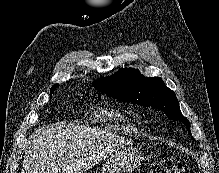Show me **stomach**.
<instances>
[{
	"mask_svg": "<svg viewBox=\"0 0 219 173\" xmlns=\"http://www.w3.org/2000/svg\"><path fill=\"white\" fill-rule=\"evenodd\" d=\"M142 160V154L137 148L122 146L108 157L102 166V173H131Z\"/></svg>",
	"mask_w": 219,
	"mask_h": 173,
	"instance_id": "1",
	"label": "stomach"
}]
</instances>
